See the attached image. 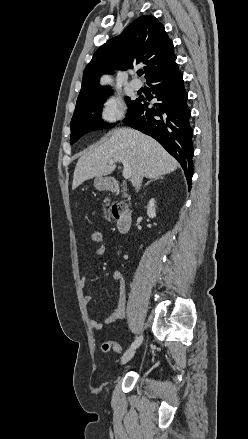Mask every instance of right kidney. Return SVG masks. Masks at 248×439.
<instances>
[{"label":"right kidney","instance_id":"right-kidney-1","mask_svg":"<svg viewBox=\"0 0 248 439\" xmlns=\"http://www.w3.org/2000/svg\"><path fill=\"white\" fill-rule=\"evenodd\" d=\"M147 215H148L150 218H154V217H156V205H155V200H154V198H152V199L149 201V203H148V206H147Z\"/></svg>","mask_w":248,"mask_h":439}]
</instances>
